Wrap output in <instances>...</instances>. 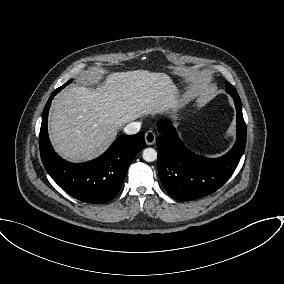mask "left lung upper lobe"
<instances>
[{
	"label": "left lung upper lobe",
	"instance_id": "left-lung-upper-lobe-1",
	"mask_svg": "<svg viewBox=\"0 0 284 284\" xmlns=\"http://www.w3.org/2000/svg\"><path fill=\"white\" fill-rule=\"evenodd\" d=\"M225 85H226V92L228 94H230L232 97L239 98L236 89L229 82H225Z\"/></svg>",
	"mask_w": 284,
	"mask_h": 284
}]
</instances>
